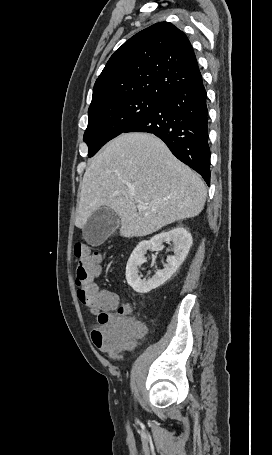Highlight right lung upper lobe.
Instances as JSON below:
<instances>
[{
    "label": "right lung upper lobe",
    "instance_id": "cb5924a9",
    "mask_svg": "<svg viewBox=\"0 0 272 455\" xmlns=\"http://www.w3.org/2000/svg\"><path fill=\"white\" fill-rule=\"evenodd\" d=\"M199 77L185 33L169 22H159L114 52L95 82L89 109L133 96L165 98Z\"/></svg>",
    "mask_w": 272,
    "mask_h": 455
}]
</instances>
